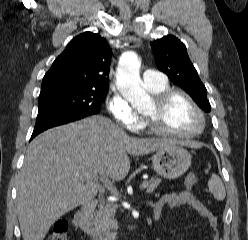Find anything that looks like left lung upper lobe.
<instances>
[{"mask_svg": "<svg viewBox=\"0 0 248 240\" xmlns=\"http://www.w3.org/2000/svg\"><path fill=\"white\" fill-rule=\"evenodd\" d=\"M158 69L183 88L205 112H210L207 90L191 63L186 46L175 36L167 35L151 42Z\"/></svg>", "mask_w": 248, "mask_h": 240, "instance_id": "obj_1", "label": "left lung upper lobe"}]
</instances>
